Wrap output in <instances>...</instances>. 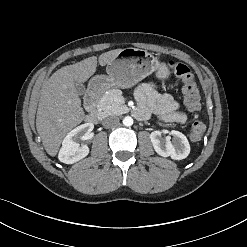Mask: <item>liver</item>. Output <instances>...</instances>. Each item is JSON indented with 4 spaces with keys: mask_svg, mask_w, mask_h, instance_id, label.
Segmentation results:
<instances>
[{
    "mask_svg": "<svg viewBox=\"0 0 247 247\" xmlns=\"http://www.w3.org/2000/svg\"><path fill=\"white\" fill-rule=\"evenodd\" d=\"M122 49L101 54L98 62L107 65ZM97 57L86 58L60 68L43 84L36 116L37 132L46 152L55 156L63 138L85 118L76 83L86 82L95 72Z\"/></svg>",
    "mask_w": 247,
    "mask_h": 247,
    "instance_id": "liver-1",
    "label": "liver"
}]
</instances>
